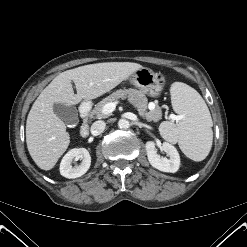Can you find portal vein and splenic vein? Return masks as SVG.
Listing matches in <instances>:
<instances>
[{
    "label": "portal vein and splenic vein",
    "instance_id": "1",
    "mask_svg": "<svg viewBox=\"0 0 247 247\" xmlns=\"http://www.w3.org/2000/svg\"><path fill=\"white\" fill-rule=\"evenodd\" d=\"M117 103L118 102L115 101V102H110V103L105 104L104 107H103V113L104 114H110V113H112L115 110ZM169 118L172 121H179L180 120V117L179 116H176L174 114H170L169 115Z\"/></svg>",
    "mask_w": 247,
    "mask_h": 247
}]
</instances>
